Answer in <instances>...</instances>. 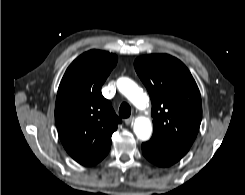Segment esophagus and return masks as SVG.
<instances>
[{
	"instance_id": "34e87169",
	"label": "esophagus",
	"mask_w": 245,
	"mask_h": 195,
	"mask_svg": "<svg viewBox=\"0 0 245 195\" xmlns=\"http://www.w3.org/2000/svg\"><path fill=\"white\" fill-rule=\"evenodd\" d=\"M133 121H134V117H129V118L125 119V124L130 125L133 123Z\"/></svg>"
}]
</instances>
